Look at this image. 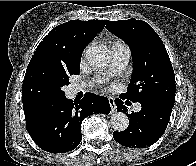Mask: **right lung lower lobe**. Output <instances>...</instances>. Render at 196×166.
I'll list each match as a JSON object with an SVG mask.
<instances>
[{
    "label": "right lung lower lobe",
    "mask_w": 196,
    "mask_h": 166,
    "mask_svg": "<svg viewBox=\"0 0 196 166\" xmlns=\"http://www.w3.org/2000/svg\"><path fill=\"white\" fill-rule=\"evenodd\" d=\"M26 129L44 151L66 153L75 149L81 139V122L93 114L110 112L106 97L86 93L73 102L65 96L23 104Z\"/></svg>",
    "instance_id": "right-lung-lower-lobe-1"
}]
</instances>
